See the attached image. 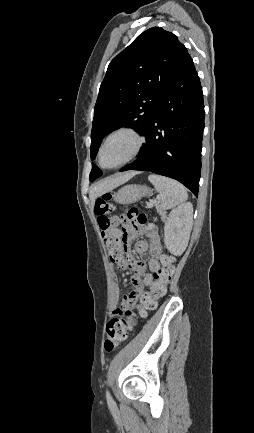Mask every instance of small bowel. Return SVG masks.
<instances>
[{
    "label": "small bowel",
    "mask_w": 254,
    "mask_h": 433,
    "mask_svg": "<svg viewBox=\"0 0 254 433\" xmlns=\"http://www.w3.org/2000/svg\"><path fill=\"white\" fill-rule=\"evenodd\" d=\"M125 227L128 230V237L132 238L139 232H146L149 242L140 240L135 245V250L139 254H144L149 249L150 259L148 262V271H146L145 265L129 254L123 258L114 261L117 270L132 269L136 274L131 279L132 291L124 296L121 305L118 304L119 299V285L116 280L112 282V302L110 305V316H114L121 312L123 307L132 308L136 306L139 298H142L143 291L146 287L150 289L153 287L155 282V275L160 268V259L162 256V244L158 231L155 227H151L146 230H142L138 226H132L128 222L124 221ZM143 275V277H141ZM167 291V288H166Z\"/></svg>",
    "instance_id": "small-bowel-1"
}]
</instances>
